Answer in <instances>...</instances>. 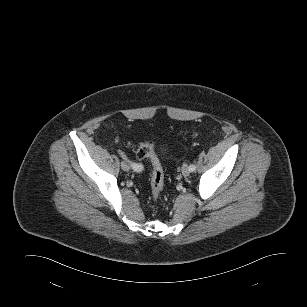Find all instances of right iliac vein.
I'll return each mask as SVG.
<instances>
[{"label":"right iliac vein","mask_w":307,"mask_h":307,"mask_svg":"<svg viewBox=\"0 0 307 307\" xmlns=\"http://www.w3.org/2000/svg\"><path fill=\"white\" fill-rule=\"evenodd\" d=\"M121 168L124 171H129L130 170V166L126 162H121Z\"/></svg>","instance_id":"obj_1"}]
</instances>
